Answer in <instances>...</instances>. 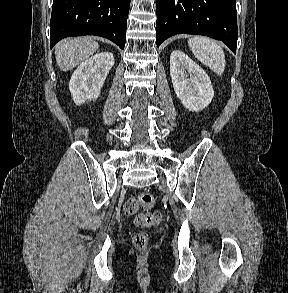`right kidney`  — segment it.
I'll return each instance as SVG.
<instances>
[{"instance_id":"1","label":"right kidney","mask_w":288,"mask_h":293,"mask_svg":"<svg viewBox=\"0 0 288 293\" xmlns=\"http://www.w3.org/2000/svg\"><path fill=\"white\" fill-rule=\"evenodd\" d=\"M113 65L114 57L111 52L98 53L81 63L69 82V89L76 105L98 98Z\"/></svg>"}]
</instances>
